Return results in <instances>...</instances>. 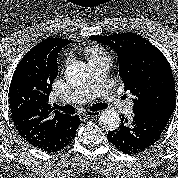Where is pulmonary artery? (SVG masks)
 <instances>
[{
  "instance_id": "1",
  "label": "pulmonary artery",
  "mask_w": 178,
  "mask_h": 178,
  "mask_svg": "<svg viewBox=\"0 0 178 178\" xmlns=\"http://www.w3.org/2000/svg\"><path fill=\"white\" fill-rule=\"evenodd\" d=\"M109 58H93L88 60L89 78L86 84L76 88L65 100L69 103L81 104L96 97H103L114 102L117 108L124 113L130 111V104L119 99L117 92L111 90L106 81L109 71Z\"/></svg>"
}]
</instances>
